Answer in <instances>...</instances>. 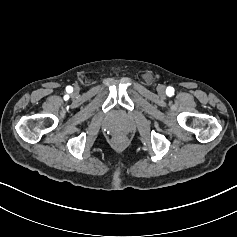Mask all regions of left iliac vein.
Listing matches in <instances>:
<instances>
[{
  "instance_id": "4c4485c4",
  "label": "left iliac vein",
  "mask_w": 237,
  "mask_h": 237,
  "mask_svg": "<svg viewBox=\"0 0 237 237\" xmlns=\"http://www.w3.org/2000/svg\"><path fill=\"white\" fill-rule=\"evenodd\" d=\"M157 91H158L159 93L163 94V93L165 92V87H164V85H159V86L157 87Z\"/></svg>"
}]
</instances>
